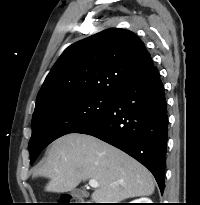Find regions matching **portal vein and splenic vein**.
I'll return each mask as SVG.
<instances>
[{
  "mask_svg": "<svg viewBox=\"0 0 200 205\" xmlns=\"http://www.w3.org/2000/svg\"><path fill=\"white\" fill-rule=\"evenodd\" d=\"M89 186H91L92 188H98L99 184L95 179H91L89 180Z\"/></svg>",
  "mask_w": 200,
  "mask_h": 205,
  "instance_id": "portal-vein-and-splenic-vein-1",
  "label": "portal vein and splenic vein"
}]
</instances>
